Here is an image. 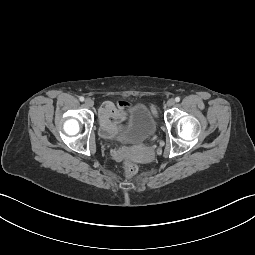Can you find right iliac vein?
<instances>
[{"label": "right iliac vein", "instance_id": "right-iliac-vein-1", "mask_svg": "<svg viewBox=\"0 0 255 255\" xmlns=\"http://www.w3.org/2000/svg\"><path fill=\"white\" fill-rule=\"evenodd\" d=\"M85 105L87 106V107H93V105H94V102H93V100L92 99H90V98H87L86 100H85Z\"/></svg>", "mask_w": 255, "mask_h": 255}]
</instances>
